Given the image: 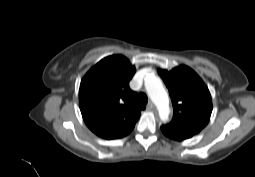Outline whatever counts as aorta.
I'll return each mask as SVG.
<instances>
[{
	"label": "aorta",
	"mask_w": 255,
	"mask_h": 177,
	"mask_svg": "<svg viewBox=\"0 0 255 177\" xmlns=\"http://www.w3.org/2000/svg\"><path fill=\"white\" fill-rule=\"evenodd\" d=\"M145 88L150 99L156 105L161 120L166 121L170 113L169 97L161 79L153 75L147 77L145 79Z\"/></svg>",
	"instance_id": "obj_1"
}]
</instances>
